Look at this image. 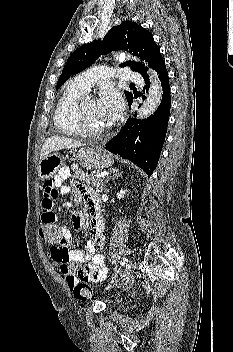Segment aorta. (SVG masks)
<instances>
[{
	"mask_svg": "<svg viewBox=\"0 0 233 352\" xmlns=\"http://www.w3.org/2000/svg\"><path fill=\"white\" fill-rule=\"evenodd\" d=\"M113 57L114 59L119 61H124L126 59L131 58V56H128L124 53H114ZM134 59L137 60L136 58ZM148 74L150 76L151 85H150V89H149L146 101L142 104V106L138 110L137 117L139 119H145L150 115H152L157 110L162 100L163 90H162V85H161L160 79L158 78V75L152 69L148 70Z\"/></svg>",
	"mask_w": 233,
	"mask_h": 352,
	"instance_id": "762f6f07",
	"label": "aorta"
}]
</instances>
